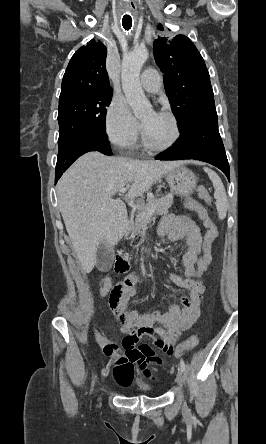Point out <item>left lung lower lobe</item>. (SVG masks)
<instances>
[{
    "label": "left lung lower lobe",
    "instance_id": "left-lung-lower-lobe-1",
    "mask_svg": "<svg viewBox=\"0 0 266 444\" xmlns=\"http://www.w3.org/2000/svg\"><path fill=\"white\" fill-rule=\"evenodd\" d=\"M158 160L195 159L218 167L230 180L229 164L218 130L216 109L197 115L182 128L173 147Z\"/></svg>",
    "mask_w": 266,
    "mask_h": 444
}]
</instances>
